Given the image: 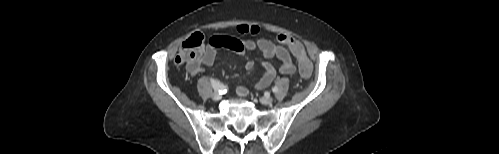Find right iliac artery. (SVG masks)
<instances>
[{
    "label": "right iliac artery",
    "instance_id": "obj_1",
    "mask_svg": "<svg viewBox=\"0 0 499 154\" xmlns=\"http://www.w3.org/2000/svg\"><path fill=\"white\" fill-rule=\"evenodd\" d=\"M210 82L213 86V89L216 92H219V94H224L227 92L228 88L225 85H223L222 83L218 82L217 80L210 78Z\"/></svg>",
    "mask_w": 499,
    "mask_h": 154
}]
</instances>
